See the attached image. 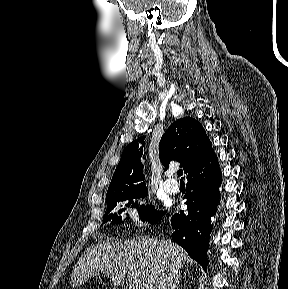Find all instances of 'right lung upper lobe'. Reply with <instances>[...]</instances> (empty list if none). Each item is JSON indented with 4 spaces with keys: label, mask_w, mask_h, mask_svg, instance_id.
<instances>
[{
    "label": "right lung upper lobe",
    "mask_w": 288,
    "mask_h": 289,
    "mask_svg": "<svg viewBox=\"0 0 288 289\" xmlns=\"http://www.w3.org/2000/svg\"><path fill=\"white\" fill-rule=\"evenodd\" d=\"M145 137L133 141L123 151L107 192L146 187L141 157ZM161 163L168 169L171 160L181 162L185 174L198 167L214 151L201 124L191 117L175 121L166 130L159 143Z\"/></svg>",
    "instance_id": "cb5924a9"
}]
</instances>
